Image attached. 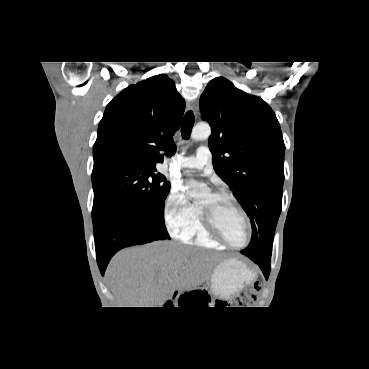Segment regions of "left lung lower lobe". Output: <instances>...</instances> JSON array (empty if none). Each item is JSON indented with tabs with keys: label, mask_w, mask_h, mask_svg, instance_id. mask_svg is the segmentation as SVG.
Masks as SVG:
<instances>
[{
	"label": "left lung lower lobe",
	"mask_w": 369,
	"mask_h": 369,
	"mask_svg": "<svg viewBox=\"0 0 369 369\" xmlns=\"http://www.w3.org/2000/svg\"><path fill=\"white\" fill-rule=\"evenodd\" d=\"M261 268L266 279H268L270 273V261H264L257 258H251Z\"/></svg>",
	"instance_id": "1"
}]
</instances>
